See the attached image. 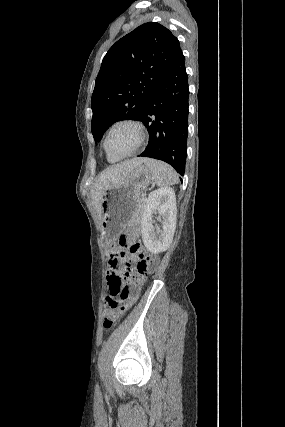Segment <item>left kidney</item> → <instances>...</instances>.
Segmentation results:
<instances>
[{
    "mask_svg": "<svg viewBox=\"0 0 285 427\" xmlns=\"http://www.w3.org/2000/svg\"><path fill=\"white\" fill-rule=\"evenodd\" d=\"M156 211L158 221L162 223V229L157 232L152 220ZM176 214V198L172 188H159L149 194L141 221L142 239L148 251L158 254L169 248L176 228Z\"/></svg>",
    "mask_w": 285,
    "mask_h": 427,
    "instance_id": "obj_1",
    "label": "left kidney"
}]
</instances>
